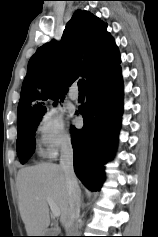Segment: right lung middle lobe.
<instances>
[{
	"label": "right lung middle lobe",
	"instance_id": "obj_1",
	"mask_svg": "<svg viewBox=\"0 0 158 237\" xmlns=\"http://www.w3.org/2000/svg\"><path fill=\"white\" fill-rule=\"evenodd\" d=\"M44 112L45 110H43L39 114L24 118H18L17 120L18 137L16 141V149L19 160L22 164L26 163L34 153V133Z\"/></svg>",
	"mask_w": 158,
	"mask_h": 237
}]
</instances>
